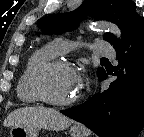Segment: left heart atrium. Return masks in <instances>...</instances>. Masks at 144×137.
I'll return each instance as SVG.
<instances>
[{
    "instance_id": "39dd6f15",
    "label": "left heart atrium",
    "mask_w": 144,
    "mask_h": 137,
    "mask_svg": "<svg viewBox=\"0 0 144 137\" xmlns=\"http://www.w3.org/2000/svg\"><path fill=\"white\" fill-rule=\"evenodd\" d=\"M85 76L82 73H75V89L79 92L84 86Z\"/></svg>"
}]
</instances>
